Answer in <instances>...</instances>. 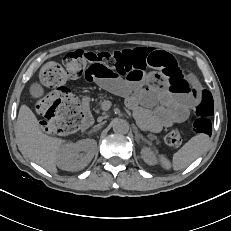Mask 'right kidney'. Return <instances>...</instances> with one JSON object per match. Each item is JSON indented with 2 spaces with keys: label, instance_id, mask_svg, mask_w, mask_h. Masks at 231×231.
<instances>
[{
  "label": "right kidney",
  "instance_id": "obj_1",
  "mask_svg": "<svg viewBox=\"0 0 231 231\" xmlns=\"http://www.w3.org/2000/svg\"><path fill=\"white\" fill-rule=\"evenodd\" d=\"M97 143L93 139H82L68 143L58 153L57 165L62 170L76 171L85 168L95 154Z\"/></svg>",
  "mask_w": 231,
  "mask_h": 231
}]
</instances>
